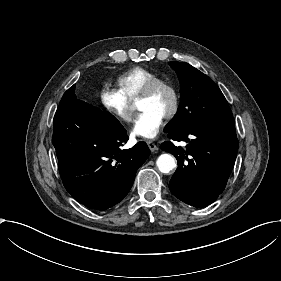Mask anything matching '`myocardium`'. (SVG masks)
Wrapping results in <instances>:
<instances>
[{"instance_id":"f54148a6","label":"myocardium","mask_w":281,"mask_h":281,"mask_svg":"<svg viewBox=\"0 0 281 281\" xmlns=\"http://www.w3.org/2000/svg\"><path fill=\"white\" fill-rule=\"evenodd\" d=\"M161 88L166 89L171 97L170 107L164 116V120L169 121L177 114L180 105L178 91L171 82L161 78L151 81L140 94L138 101L151 98Z\"/></svg>"}]
</instances>
